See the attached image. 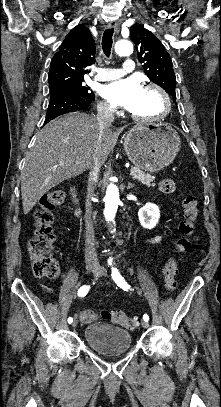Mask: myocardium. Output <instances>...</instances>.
Masks as SVG:
<instances>
[{
	"label": "myocardium",
	"mask_w": 221,
	"mask_h": 407,
	"mask_svg": "<svg viewBox=\"0 0 221 407\" xmlns=\"http://www.w3.org/2000/svg\"><path fill=\"white\" fill-rule=\"evenodd\" d=\"M144 89L155 90L160 94L162 101H163V110L158 116H155V117H141V116H137L134 113L130 112L131 117L135 121L141 122V123H154V122H159V121L165 119L171 109V98H170L168 92L161 85L156 84V83H148L145 85Z\"/></svg>",
	"instance_id": "f54148a6"
}]
</instances>
